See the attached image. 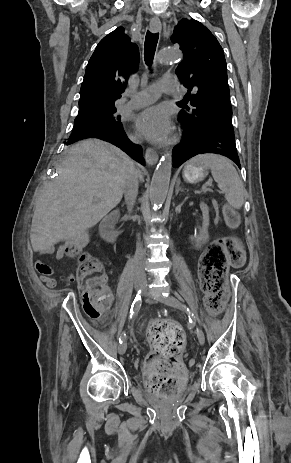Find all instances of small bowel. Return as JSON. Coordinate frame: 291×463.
Segmentation results:
<instances>
[{
    "mask_svg": "<svg viewBox=\"0 0 291 463\" xmlns=\"http://www.w3.org/2000/svg\"><path fill=\"white\" fill-rule=\"evenodd\" d=\"M37 250H38L39 253H50L52 251L50 247H46V246H39V247H37ZM64 255H65L64 246L61 245L56 250V254H55L56 259L58 261H60V260H62L64 258ZM40 265L45 266L46 270L41 269ZM36 268L41 273V276H40L41 281L43 283H45V285L49 289L55 288L56 285H57V280L54 277V275H55L54 269L52 267L48 266L47 264H45L42 261H37L36 262ZM58 280L61 283H63L64 285L69 286L74 282L75 279H74V276L72 274H61V275H58ZM106 282H107V277L103 276L104 285L106 284ZM105 288L108 290L107 287H105ZM88 316L91 317L92 319H98L100 317V316L94 317V316H90V315H88Z\"/></svg>",
    "mask_w": 291,
    "mask_h": 463,
    "instance_id": "1",
    "label": "small bowel"
}]
</instances>
